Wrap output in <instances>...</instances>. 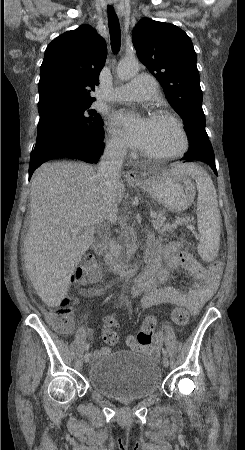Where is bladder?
Listing matches in <instances>:
<instances>
[{"label": "bladder", "instance_id": "obj_1", "mask_svg": "<svg viewBox=\"0 0 245 450\" xmlns=\"http://www.w3.org/2000/svg\"><path fill=\"white\" fill-rule=\"evenodd\" d=\"M161 383L159 365L147 355L129 350H118L94 360L88 374L92 390L125 402L149 397Z\"/></svg>", "mask_w": 245, "mask_h": 450}]
</instances>
